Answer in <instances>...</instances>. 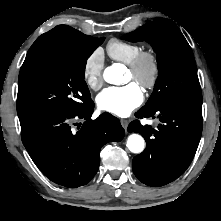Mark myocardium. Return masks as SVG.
I'll use <instances>...</instances> for the list:
<instances>
[{
    "label": "myocardium",
    "instance_id": "obj_1",
    "mask_svg": "<svg viewBox=\"0 0 221 221\" xmlns=\"http://www.w3.org/2000/svg\"><path fill=\"white\" fill-rule=\"evenodd\" d=\"M133 79L145 89H152L157 84L160 74V64L153 50H141L128 64Z\"/></svg>",
    "mask_w": 221,
    "mask_h": 221
}]
</instances>
